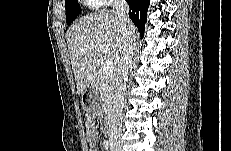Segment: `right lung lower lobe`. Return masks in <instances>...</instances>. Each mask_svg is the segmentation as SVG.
Here are the masks:
<instances>
[{
  "label": "right lung lower lobe",
  "instance_id": "98d812e1",
  "mask_svg": "<svg viewBox=\"0 0 231 151\" xmlns=\"http://www.w3.org/2000/svg\"><path fill=\"white\" fill-rule=\"evenodd\" d=\"M129 7V17L132 22L137 26L141 38L144 36V25L147 21V10L149 0H126Z\"/></svg>",
  "mask_w": 231,
  "mask_h": 151
}]
</instances>
